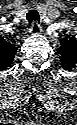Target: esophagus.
Masks as SVG:
<instances>
[{"mask_svg":"<svg viewBox=\"0 0 77 125\" xmlns=\"http://www.w3.org/2000/svg\"><path fill=\"white\" fill-rule=\"evenodd\" d=\"M30 32L33 34H38L41 32V25L37 21H34L31 25Z\"/></svg>","mask_w":77,"mask_h":125,"instance_id":"esophagus-1","label":"esophagus"}]
</instances>
